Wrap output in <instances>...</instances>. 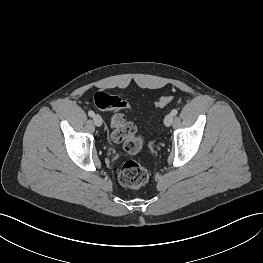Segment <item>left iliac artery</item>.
Wrapping results in <instances>:
<instances>
[{"mask_svg": "<svg viewBox=\"0 0 263 263\" xmlns=\"http://www.w3.org/2000/svg\"><path fill=\"white\" fill-rule=\"evenodd\" d=\"M177 113H178V110H177V109H173V110L171 111V114H172L173 116L177 115Z\"/></svg>", "mask_w": 263, "mask_h": 263, "instance_id": "obj_1", "label": "left iliac artery"}]
</instances>
